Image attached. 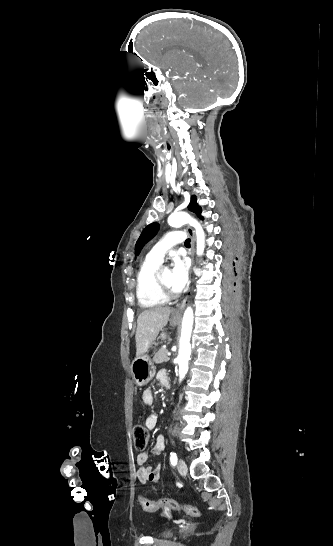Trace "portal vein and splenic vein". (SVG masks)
<instances>
[{"label": "portal vein and splenic vein", "instance_id": "portal-vein-and-splenic-vein-1", "mask_svg": "<svg viewBox=\"0 0 333 546\" xmlns=\"http://www.w3.org/2000/svg\"><path fill=\"white\" fill-rule=\"evenodd\" d=\"M167 356H171V352H167Z\"/></svg>", "mask_w": 333, "mask_h": 546}]
</instances>
